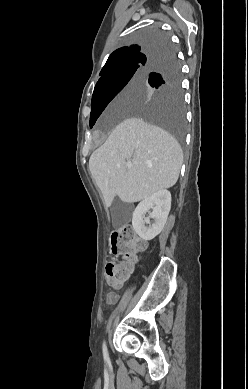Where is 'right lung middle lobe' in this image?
I'll list each match as a JSON object with an SVG mask.
<instances>
[{
    "instance_id": "1",
    "label": "right lung middle lobe",
    "mask_w": 248,
    "mask_h": 389,
    "mask_svg": "<svg viewBox=\"0 0 248 389\" xmlns=\"http://www.w3.org/2000/svg\"><path fill=\"white\" fill-rule=\"evenodd\" d=\"M143 41L149 45L170 44L167 38L157 31H148L143 35ZM153 71V72H151ZM149 72H151L149 74ZM154 72L161 77L153 78ZM149 74V84L152 87V97L148 102L133 101L126 105L128 111L148 123L157 125L169 131L175 139L184 142L185 112L180 89V65L171 47L162 57L146 68L139 65L128 66L111 71L101 76L94 88L90 128L109 102L130 82L145 83Z\"/></svg>"
}]
</instances>
